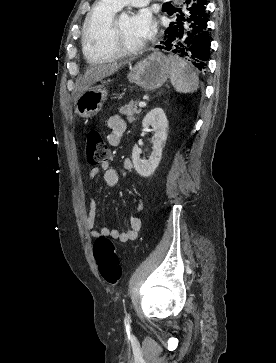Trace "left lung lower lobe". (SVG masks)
<instances>
[{
	"label": "left lung lower lobe",
	"mask_w": 276,
	"mask_h": 363,
	"mask_svg": "<svg viewBox=\"0 0 276 363\" xmlns=\"http://www.w3.org/2000/svg\"><path fill=\"white\" fill-rule=\"evenodd\" d=\"M207 0H185L177 21L172 22L166 35L156 47L170 51L173 55L202 71L209 54V35L206 18Z\"/></svg>",
	"instance_id": "obj_1"
}]
</instances>
